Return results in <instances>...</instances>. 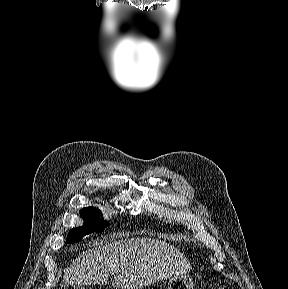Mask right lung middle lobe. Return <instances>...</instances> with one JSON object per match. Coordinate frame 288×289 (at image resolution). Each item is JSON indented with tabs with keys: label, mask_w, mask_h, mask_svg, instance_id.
<instances>
[{
	"label": "right lung middle lobe",
	"mask_w": 288,
	"mask_h": 289,
	"mask_svg": "<svg viewBox=\"0 0 288 289\" xmlns=\"http://www.w3.org/2000/svg\"><path fill=\"white\" fill-rule=\"evenodd\" d=\"M80 215L84 220V225L81 227L73 228L69 231L67 236V243H76L82 237L90 234L91 232H101L107 225V222L98 219L100 211L94 207H87L80 210Z\"/></svg>",
	"instance_id": "obj_1"
}]
</instances>
